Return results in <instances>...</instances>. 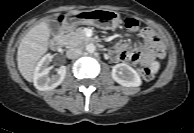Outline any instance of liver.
Instances as JSON below:
<instances>
[{
	"label": "liver",
	"mask_w": 194,
	"mask_h": 133,
	"mask_svg": "<svg viewBox=\"0 0 194 133\" xmlns=\"http://www.w3.org/2000/svg\"><path fill=\"white\" fill-rule=\"evenodd\" d=\"M76 12L78 11H72L67 15ZM50 37L49 24L43 21L30 29L19 44L17 65L21 75L28 82H32L36 64L48 50Z\"/></svg>",
	"instance_id": "obj_1"
}]
</instances>
